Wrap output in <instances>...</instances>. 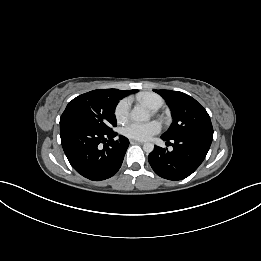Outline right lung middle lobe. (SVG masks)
<instances>
[{
  "label": "right lung middle lobe",
  "instance_id": "1",
  "mask_svg": "<svg viewBox=\"0 0 261 261\" xmlns=\"http://www.w3.org/2000/svg\"><path fill=\"white\" fill-rule=\"evenodd\" d=\"M120 100L111 89H98L71 100L60 118V125L88 127L110 132L117 126L115 108Z\"/></svg>",
  "mask_w": 261,
  "mask_h": 261
}]
</instances>
